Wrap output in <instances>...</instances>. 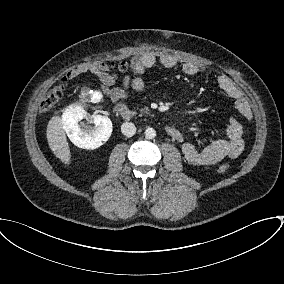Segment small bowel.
<instances>
[{
  "label": "small bowel",
  "mask_w": 284,
  "mask_h": 284,
  "mask_svg": "<svg viewBox=\"0 0 284 284\" xmlns=\"http://www.w3.org/2000/svg\"><path fill=\"white\" fill-rule=\"evenodd\" d=\"M178 59L167 53H145L135 56L132 59V76L123 79L122 87H113L117 82V75L109 70V66L103 62L83 63L70 70L63 78L68 81L81 73L91 72L96 75L101 84L103 94L113 103L128 97L130 92L142 91L145 87L144 73L147 69L159 65L166 69L174 68L178 65ZM182 71L186 75L195 76L205 73V69L194 62H185L182 64ZM216 85L228 97L234 100L235 108L244 121H250L252 118L249 104L243 98L240 89L227 75L221 74L215 78ZM245 126L234 117L229 119L226 128V136L223 139H216L203 147H197L190 142H184V137L178 131L174 139L180 143L184 158L195 165H212L221 161L225 157L234 158L239 156L245 146Z\"/></svg>",
  "instance_id": "1"
}]
</instances>
